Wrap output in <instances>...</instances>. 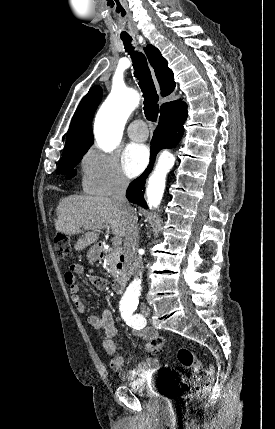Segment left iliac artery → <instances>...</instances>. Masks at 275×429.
Here are the masks:
<instances>
[{
	"mask_svg": "<svg viewBox=\"0 0 275 429\" xmlns=\"http://www.w3.org/2000/svg\"><path fill=\"white\" fill-rule=\"evenodd\" d=\"M136 306H123L120 308L122 318L127 325L134 329H141L145 325V318L140 314H134Z\"/></svg>",
	"mask_w": 275,
	"mask_h": 429,
	"instance_id": "left-iliac-artery-1",
	"label": "left iliac artery"
}]
</instances>
